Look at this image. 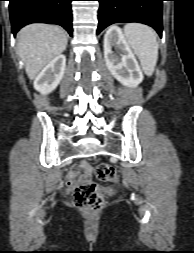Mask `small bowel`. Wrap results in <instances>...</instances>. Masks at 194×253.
Returning a JSON list of instances; mask_svg holds the SVG:
<instances>
[{
  "mask_svg": "<svg viewBox=\"0 0 194 253\" xmlns=\"http://www.w3.org/2000/svg\"><path fill=\"white\" fill-rule=\"evenodd\" d=\"M78 177H79V172H78L77 168H73L67 174L66 184L68 186H73L76 183Z\"/></svg>",
  "mask_w": 194,
  "mask_h": 253,
  "instance_id": "obj_1",
  "label": "small bowel"
}]
</instances>
